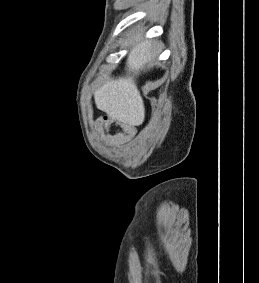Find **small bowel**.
I'll return each mask as SVG.
<instances>
[{"label": "small bowel", "instance_id": "small-bowel-1", "mask_svg": "<svg viewBox=\"0 0 259 283\" xmlns=\"http://www.w3.org/2000/svg\"><path fill=\"white\" fill-rule=\"evenodd\" d=\"M96 134L115 145L129 144L135 135V127L125 121H119L108 115L99 116L95 120ZM112 127H116L112 131Z\"/></svg>", "mask_w": 259, "mask_h": 283}]
</instances>
